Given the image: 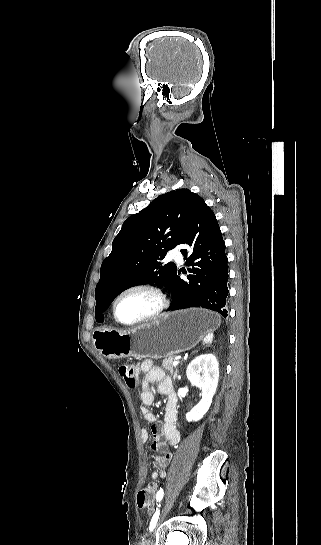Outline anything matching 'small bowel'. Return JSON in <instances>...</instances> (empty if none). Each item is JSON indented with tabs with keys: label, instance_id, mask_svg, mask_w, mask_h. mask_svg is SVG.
<instances>
[{
	"label": "small bowel",
	"instance_id": "1",
	"mask_svg": "<svg viewBox=\"0 0 321 545\" xmlns=\"http://www.w3.org/2000/svg\"><path fill=\"white\" fill-rule=\"evenodd\" d=\"M140 370L144 376L140 392L141 414L143 419L151 424V449L159 454L153 457L157 469L151 472L150 478L158 480L165 478L166 468L172 459L169 447L175 446L180 441V430L177 423V395L170 378L151 360H144L140 365ZM151 384H157L158 392L167 398L162 423L148 409L154 402V390ZM141 437L144 442L149 439V432L144 428L141 430Z\"/></svg>",
	"mask_w": 321,
	"mask_h": 545
}]
</instances>
